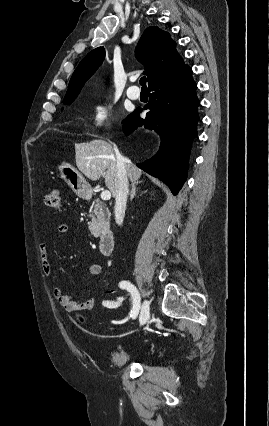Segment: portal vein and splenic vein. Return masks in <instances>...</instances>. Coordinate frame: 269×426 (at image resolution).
Segmentation results:
<instances>
[{
    "instance_id": "obj_1",
    "label": "portal vein and splenic vein",
    "mask_w": 269,
    "mask_h": 426,
    "mask_svg": "<svg viewBox=\"0 0 269 426\" xmlns=\"http://www.w3.org/2000/svg\"><path fill=\"white\" fill-rule=\"evenodd\" d=\"M101 199L105 200V201L110 200L111 199V193L107 190L102 191L101 192Z\"/></svg>"
}]
</instances>
